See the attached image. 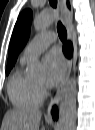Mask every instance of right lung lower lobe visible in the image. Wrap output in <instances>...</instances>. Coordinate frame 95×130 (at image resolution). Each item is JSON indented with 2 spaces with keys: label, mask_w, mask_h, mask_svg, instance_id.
Here are the masks:
<instances>
[{
  "label": "right lung lower lobe",
  "mask_w": 95,
  "mask_h": 130,
  "mask_svg": "<svg viewBox=\"0 0 95 130\" xmlns=\"http://www.w3.org/2000/svg\"><path fill=\"white\" fill-rule=\"evenodd\" d=\"M63 51H64V54H65L67 57H71V55H72V45H71L70 42L66 43V44L63 46ZM52 114H53L54 119H57L56 107H54Z\"/></svg>",
  "instance_id": "1"
}]
</instances>
